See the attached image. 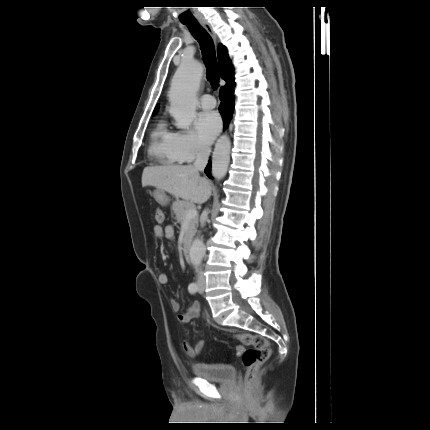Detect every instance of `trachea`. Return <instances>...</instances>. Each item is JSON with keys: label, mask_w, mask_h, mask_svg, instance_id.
Returning <instances> with one entry per match:
<instances>
[{"label": "trachea", "mask_w": 430, "mask_h": 430, "mask_svg": "<svg viewBox=\"0 0 430 430\" xmlns=\"http://www.w3.org/2000/svg\"><path fill=\"white\" fill-rule=\"evenodd\" d=\"M199 42L202 59L206 66V78L213 87L219 86L220 70L216 61L215 47L211 36L199 23H184Z\"/></svg>", "instance_id": "trachea-1"}]
</instances>
